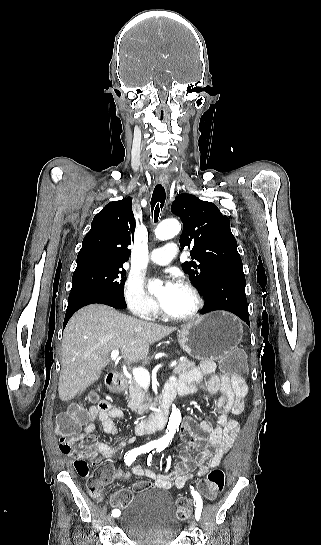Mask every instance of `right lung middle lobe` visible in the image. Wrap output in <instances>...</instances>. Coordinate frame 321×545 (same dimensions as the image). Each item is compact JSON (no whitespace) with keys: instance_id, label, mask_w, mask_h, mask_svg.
<instances>
[{"instance_id":"obj_1","label":"right lung middle lobe","mask_w":321,"mask_h":545,"mask_svg":"<svg viewBox=\"0 0 321 545\" xmlns=\"http://www.w3.org/2000/svg\"><path fill=\"white\" fill-rule=\"evenodd\" d=\"M126 271L123 265H87L76 268L72 276V289L89 288L124 296Z\"/></svg>"}]
</instances>
